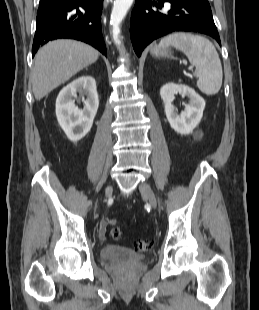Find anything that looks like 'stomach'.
<instances>
[{"mask_svg":"<svg viewBox=\"0 0 259 310\" xmlns=\"http://www.w3.org/2000/svg\"><path fill=\"white\" fill-rule=\"evenodd\" d=\"M151 54L154 57H158V58H172V52L168 47H160V46H154L151 49Z\"/></svg>","mask_w":259,"mask_h":310,"instance_id":"obj_1","label":"stomach"}]
</instances>
